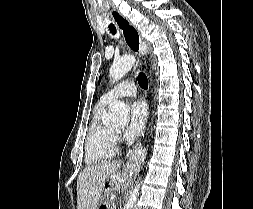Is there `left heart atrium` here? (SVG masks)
Returning a JSON list of instances; mask_svg holds the SVG:
<instances>
[{
	"instance_id": "1",
	"label": "left heart atrium",
	"mask_w": 253,
	"mask_h": 209,
	"mask_svg": "<svg viewBox=\"0 0 253 209\" xmlns=\"http://www.w3.org/2000/svg\"><path fill=\"white\" fill-rule=\"evenodd\" d=\"M148 115L147 105L142 100H136L130 107V120L125 137L129 140L138 137L144 129Z\"/></svg>"
}]
</instances>
